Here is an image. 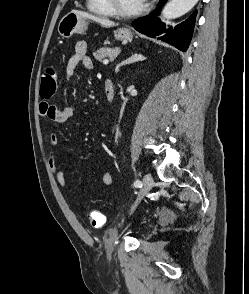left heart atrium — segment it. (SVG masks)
Wrapping results in <instances>:
<instances>
[{
  "label": "left heart atrium",
  "mask_w": 249,
  "mask_h": 294,
  "mask_svg": "<svg viewBox=\"0 0 249 294\" xmlns=\"http://www.w3.org/2000/svg\"><path fill=\"white\" fill-rule=\"evenodd\" d=\"M146 0H142V2L144 3Z\"/></svg>",
  "instance_id": "left-heart-atrium-1"
}]
</instances>
